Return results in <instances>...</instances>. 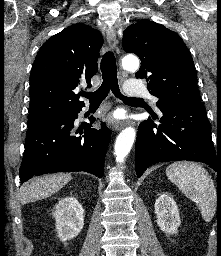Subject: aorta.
Instances as JSON below:
<instances>
[{"label":"aorta","instance_id":"762f6f07","mask_svg":"<svg viewBox=\"0 0 221 256\" xmlns=\"http://www.w3.org/2000/svg\"><path fill=\"white\" fill-rule=\"evenodd\" d=\"M123 68L135 71L139 68V61L136 58H126L122 62ZM136 137V131L133 127H127L121 131L115 142V156L118 163H123L129 154Z\"/></svg>","mask_w":221,"mask_h":256}]
</instances>
